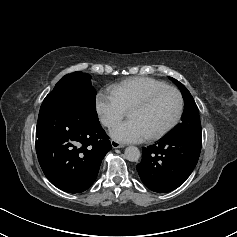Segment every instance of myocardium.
Masks as SVG:
<instances>
[{"label": "myocardium", "instance_id": "myocardium-1", "mask_svg": "<svg viewBox=\"0 0 237 237\" xmlns=\"http://www.w3.org/2000/svg\"><path fill=\"white\" fill-rule=\"evenodd\" d=\"M165 91H172L176 94L177 98H178V108H177V112L175 114V116L173 117V119L161 130H159L158 132L148 136V140L149 141H154L157 140L161 137H163L165 134H167L172 128H174L176 126V124L179 122L182 113H183V109H184V99L183 96L181 94V92L172 86H164L161 88H157L154 89L152 91H150L149 93H147L144 97H142L141 99H139L138 101H136L129 109H133V108H144L147 107L154 99L156 96H158L159 94H161L162 92Z\"/></svg>", "mask_w": 237, "mask_h": 237}]
</instances>
